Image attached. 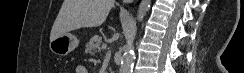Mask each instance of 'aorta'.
Returning a JSON list of instances; mask_svg holds the SVG:
<instances>
[{
  "label": "aorta",
  "instance_id": "aorta-1",
  "mask_svg": "<svg viewBox=\"0 0 244 73\" xmlns=\"http://www.w3.org/2000/svg\"><path fill=\"white\" fill-rule=\"evenodd\" d=\"M151 0H142L137 13L138 22H142L146 13L149 11ZM134 62V46L132 43H128L125 47L124 54L121 60V73H131Z\"/></svg>",
  "mask_w": 244,
  "mask_h": 73
}]
</instances>
